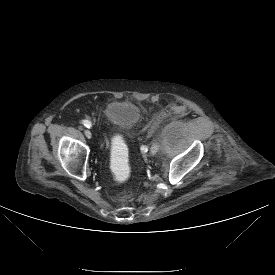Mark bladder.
<instances>
[{
  "label": "bladder",
  "instance_id": "obj_1",
  "mask_svg": "<svg viewBox=\"0 0 275 275\" xmlns=\"http://www.w3.org/2000/svg\"><path fill=\"white\" fill-rule=\"evenodd\" d=\"M103 117L109 125L122 131H129L139 123L141 110L132 101L113 100L105 105Z\"/></svg>",
  "mask_w": 275,
  "mask_h": 275
}]
</instances>
